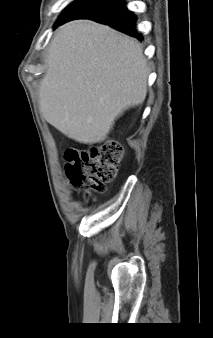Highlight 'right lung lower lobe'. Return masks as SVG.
I'll return each mask as SVG.
<instances>
[{
	"mask_svg": "<svg viewBox=\"0 0 213 338\" xmlns=\"http://www.w3.org/2000/svg\"><path fill=\"white\" fill-rule=\"evenodd\" d=\"M74 19H91L140 41L143 39L135 28L137 17L127 9L125 0H93L74 11L61 24Z\"/></svg>",
	"mask_w": 213,
	"mask_h": 338,
	"instance_id": "98d812e1",
	"label": "right lung lower lobe"
}]
</instances>
